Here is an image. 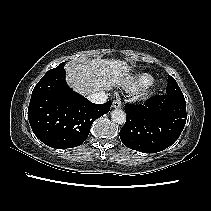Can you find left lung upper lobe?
<instances>
[{
    "instance_id": "left-lung-upper-lobe-1",
    "label": "left lung upper lobe",
    "mask_w": 211,
    "mask_h": 211,
    "mask_svg": "<svg viewBox=\"0 0 211 211\" xmlns=\"http://www.w3.org/2000/svg\"><path fill=\"white\" fill-rule=\"evenodd\" d=\"M166 93L167 94L182 93V91L180 90L177 82L170 75H168V84H167V88H166Z\"/></svg>"
}]
</instances>
